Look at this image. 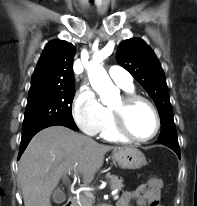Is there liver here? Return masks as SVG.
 <instances>
[{
	"label": "liver",
	"instance_id": "6515ba94",
	"mask_svg": "<svg viewBox=\"0 0 197 206\" xmlns=\"http://www.w3.org/2000/svg\"><path fill=\"white\" fill-rule=\"evenodd\" d=\"M123 149L102 145L63 126L48 127L37 133L18 165V181L24 206H51L50 197L60 178L74 170L91 183L102 167L104 155Z\"/></svg>",
	"mask_w": 197,
	"mask_h": 206
}]
</instances>
